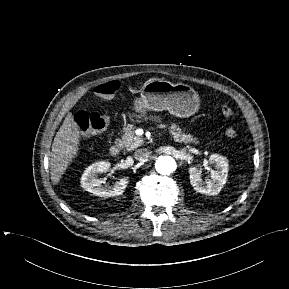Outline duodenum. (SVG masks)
<instances>
[{
	"mask_svg": "<svg viewBox=\"0 0 289 289\" xmlns=\"http://www.w3.org/2000/svg\"><path fill=\"white\" fill-rule=\"evenodd\" d=\"M121 151V144L120 142H115L111 147H110V154L112 156H117Z\"/></svg>",
	"mask_w": 289,
	"mask_h": 289,
	"instance_id": "duodenum-1",
	"label": "duodenum"
}]
</instances>
